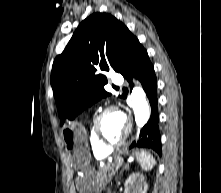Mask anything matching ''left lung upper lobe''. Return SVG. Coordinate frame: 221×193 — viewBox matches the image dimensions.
<instances>
[{"label": "left lung upper lobe", "instance_id": "1", "mask_svg": "<svg viewBox=\"0 0 221 193\" xmlns=\"http://www.w3.org/2000/svg\"><path fill=\"white\" fill-rule=\"evenodd\" d=\"M138 39L114 16L94 13L75 30L53 63V88L61 125L86 107L110 95L103 72L121 73Z\"/></svg>", "mask_w": 221, "mask_h": 193}]
</instances>
